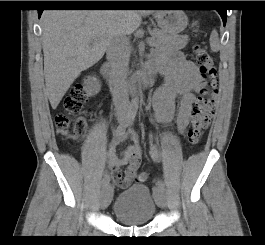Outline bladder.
<instances>
[{"mask_svg":"<svg viewBox=\"0 0 265 245\" xmlns=\"http://www.w3.org/2000/svg\"><path fill=\"white\" fill-rule=\"evenodd\" d=\"M156 201L144 184H131L117 196L114 217L124 225L139 226L151 221L156 213Z\"/></svg>","mask_w":265,"mask_h":245,"instance_id":"bladder-1","label":"bladder"}]
</instances>
